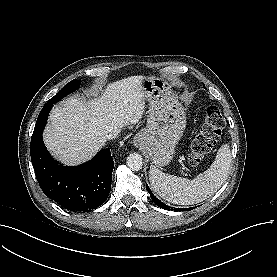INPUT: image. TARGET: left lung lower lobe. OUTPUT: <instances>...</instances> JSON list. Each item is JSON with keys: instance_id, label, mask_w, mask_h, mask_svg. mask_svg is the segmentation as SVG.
I'll use <instances>...</instances> for the list:
<instances>
[{"instance_id": "0a47b994", "label": "left lung lower lobe", "mask_w": 277, "mask_h": 277, "mask_svg": "<svg viewBox=\"0 0 277 277\" xmlns=\"http://www.w3.org/2000/svg\"><path fill=\"white\" fill-rule=\"evenodd\" d=\"M146 189H147V191L149 192V194H150V197H151V199H152V201L158 206V207H160V208H162V209H165V210H177L176 208H172V207H170V206H167L166 204H164L163 202H161L158 198H156L155 196H154V194L151 192V190L149 189V187H148V185L146 184ZM193 208H189L188 210H192ZM179 210V209H178ZM180 210H183V209H180Z\"/></svg>"}]
</instances>
